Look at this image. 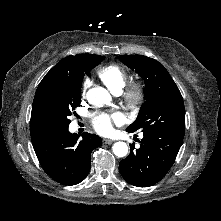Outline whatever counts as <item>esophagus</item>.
I'll list each match as a JSON object with an SVG mask.
<instances>
[{"instance_id": "1", "label": "esophagus", "mask_w": 221, "mask_h": 221, "mask_svg": "<svg viewBox=\"0 0 221 221\" xmlns=\"http://www.w3.org/2000/svg\"><path fill=\"white\" fill-rule=\"evenodd\" d=\"M103 143H105V144H112L113 140H111V139H103Z\"/></svg>"}]
</instances>
